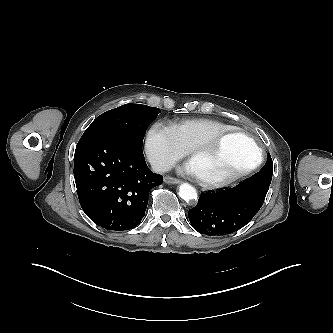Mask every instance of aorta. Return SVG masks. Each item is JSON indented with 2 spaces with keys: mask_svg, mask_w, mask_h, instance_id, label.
<instances>
[{
  "mask_svg": "<svg viewBox=\"0 0 333 333\" xmlns=\"http://www.w3.org/2000/svg\"><path fill=\"white\" fill-rule=\"evenodd\" d=\"M179 196L186 202L196 200L198 197L196 189L188 183L179 186Z\"/></svg>",
  "mask_w": 333,
  "mask_h": 333,
  "instance_id": "762f6f07",
  "label": "aorta"
}]
</instances>
